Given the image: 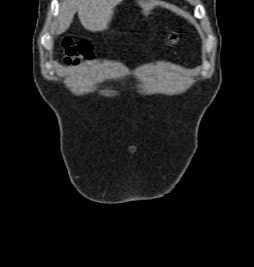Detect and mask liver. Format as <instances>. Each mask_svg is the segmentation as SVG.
I'll use <instances>...</instances> for the list:
<instances>
[{
	"mask_svg": "<svg viewBox=\"0 0 254 267\" xmlns=\"http://www.w3.org/2000/svg\"><path fill=\"white\" fill-rule=\"evenodd\" d=\"M121 0H63L57 18L56 34L64 33L78 12L82 26L91 32L105 30Z\"/></svg>",
	"mask_w": 254,
	"mask_h": 267,
	"instance_id": "1",
	"label": "liver"
}]
</instances>
